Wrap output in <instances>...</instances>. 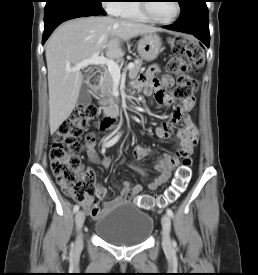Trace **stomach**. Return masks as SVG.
<instances>
[{
  "label": "stomach",
  "instance_id": "obj_1",
  "mask_svg": "<svg viewBox=\"0 0 258 275\" xmlns=\"http://www.w3.org/2000/svg\"><path fill=\"white\" fill-rule=\"evenodd\" d=\"M162 50V41L156 33L144 34L138 42L137 51L145 61L155 60Z\"/></svg>",
  "mask_w": 258,
  "mask_h": 275
}]
</instances>
